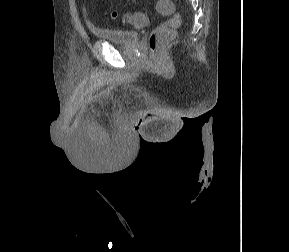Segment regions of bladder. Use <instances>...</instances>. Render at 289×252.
Returning <instances> with one entry per match:
<instances>
[{
    "label": "bladder",
    "mask_w": 289,
    "mask_h": 252,
    "mask_svg": "<svg viewBox=\"0 0 289 252\" xmlns=\"http://www.w3.org/2000/svg\"><path fill=\"white\" fill-rule=\"evenodd\" d=\"M91 31L99 40L108 41L126 47H132L140 40V34L136 31L112 28H92Z\"/></svg>",
    "instance_id": "31cf9c89"
}]
</instances>
